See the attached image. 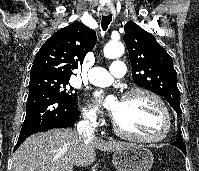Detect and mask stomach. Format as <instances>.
I'll return each mask as SVG.
<instances>
[{"label":"stomach","mask_w":199,"mask_h":171,"mask_svg":"<svg viewBox=\"0 0 199 171\" xmlns=\"http://www.w3.org/2000/svg\"><path fill=\"white\" fill-rule=\"evenodd\" d=\"M153 161L152 152L138 144H128L117 149L112 157L113 165L118 171H149Z\"/></svg>","instance_id":"obj_1"}]
</instances>
